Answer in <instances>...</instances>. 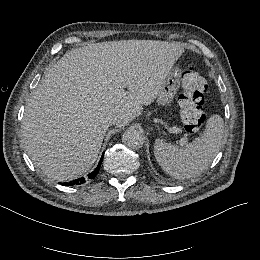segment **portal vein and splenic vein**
Segmentation results:
<instances>
[{"instance_id": "obj_1", "label": "portal vein and splenic vein", "mask_w": 260, "mask_h": 260, "mask_svg": "<svg viewBox=\"0 0 260 260\" xmlns=\"http://www.w3.org/2000/svg\"><path fill=\"white\" fill-rule=\"evenodd\" d=\"M169 133H180L181 129L180 128H176V127H172L168 129ZM187 142V134H184V137H182L179 141L180 145L183 146L185 145Z\"/></svg>"}]
</instances>
